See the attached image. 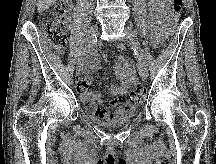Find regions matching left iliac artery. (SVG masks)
Here are the masks:
<instances>
[{
	"label": "left iliac artery",
	"mask_w": 216,
	"mask_h": 164,
	"mask_svg": "<svg viewBox=\"0 0 216 164\" xmlns=\"http://www.w3.org/2000/svg\"><path fill=\"white\" fill-rule=\"evenodd\" d=\"M132 53H134L135 54V57H136V65H141V60L139 59V57H140V54L138 53V51H137V47L134 45L133 47H132Z\"/></svg>",
	"instance_id": "left-iliac-artery-1"
}]
</instances>
